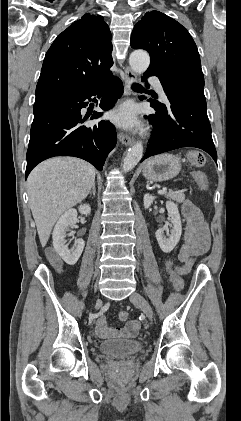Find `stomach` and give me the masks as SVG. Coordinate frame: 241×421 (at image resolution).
<instances>
[{"mask_svg":"<svg viewBox=\"0 0 241 421\" xmlns=\"http://www.w3.org/2000/svg\"><path fill=\"white\" fill-rule=\"evenodd\" d=\"M181 170V162L172 154H161L148 159L142 166L143 176L150 181L160 182L174 178Z\"/></svg>","mask_w":241,"mask_h":421,"instance_id":"1","label":"stomach"}]
</instances>
